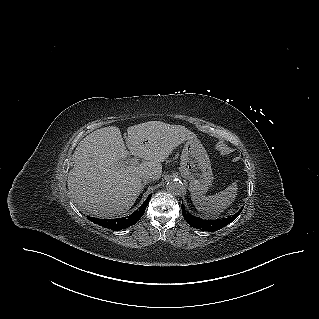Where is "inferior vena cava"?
I'll list each match as a JSON object with an SVG mask.
<instances>
[{"instance_id":"inferior-vena-cava-1","label":"inferior vena cava","mask_w":319,"mask_h":319,"mask_svg":"<svg viewBox=\"0 0 319 319\" xmlns=\"http://www.w3.org/2000/svg\"><path fill=\"white\" fill-rule=\"evenodd\" d=\"M140 178L143 182H147L148 180L154 179V175L153 173H142Z\"/></svg>"}]
</instances>
